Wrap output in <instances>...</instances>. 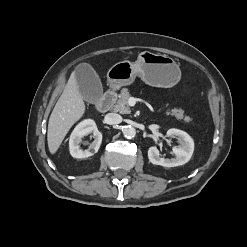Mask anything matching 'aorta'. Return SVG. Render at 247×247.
<instances>
[{"label": "aorta", "mask_w": 247, "mask_h": 247, "mask_svg": "<svg viewBox=\"0 0 247 247\" xmlns=\"http://www.w3.org/2000/svg\"><path fill=\"white\" fill-rule=\"evenodd\" d=\"M123 134L128 139L134 138L136 135V129L132 126H125L123 129Z\"/></svg>", "instance_id": "aorta-1"}]
</instances>
